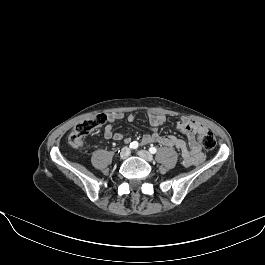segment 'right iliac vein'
<instances>
[{
	"instance_id": "right-iliac-vein-1",
	"label": "right iliac vein",
	"mask_w": 265,
	"mask_h": 265,
	"mask_svg": "<svg viewBox=\"0 0 265 265\" xmlns=\"http://www.w3.org/2000/svg\"><path fill=\"white\" fill-rule=\"evenodd\" d=\"M129 155H130V149H129V147H123L121 149V151H120L119 157H120V159L124 160V159L128 158Z\"/></svg>"
}]
</instances>
